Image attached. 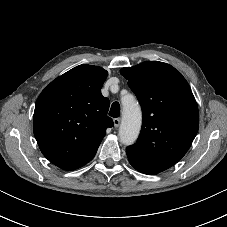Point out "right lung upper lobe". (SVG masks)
Wrapping results in <instances>:
<instances>
[{"label":"right lung upper lobe","mask_w":227,"mask_h":227,"mask_svg":"<svg viewBox=\"0 0 227 227\" xmlns=\"http://www.w3.org/2000/svg\"><path fill=\"white\" fill-rule=\"evenodd\" d=\"M108 72L79 65L52 81L39 95L34 111V135L43 155L64 170H74L95 156L113 126L109 100L101 94Z\"/></svg>","instance_id":"1"}]
</instances>
